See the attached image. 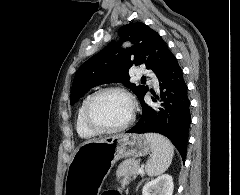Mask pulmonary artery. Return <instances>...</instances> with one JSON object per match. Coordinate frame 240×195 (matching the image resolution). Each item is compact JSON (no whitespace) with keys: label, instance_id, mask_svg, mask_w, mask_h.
Segmentation results:
<instances>
[{"label":"pulmonary artery","instance_id":"e3ab8cb5","mask_svg":"<svg viewBox=\"0 0 240 195\" xmlns=\"http://www.w3.org/2000/svg\"><path fill=\"white\" fill-rule=\"evenodd\" d=\"M137 69L138 70H141L142 69V66L141 65H138L137 66ZM146 72V71H145ZM146 74V73H144ZM142 75V72L141 71H134V76H141Z\"/></svg>","mask_w":240,"mask_h":195}]
</instances>
